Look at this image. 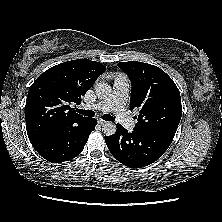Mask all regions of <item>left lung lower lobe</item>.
Instances as JSON below:
<instances>
[{
  "label": "left lung lower lobe",
  "mask_w": 222,
  "mask_h": 222,
  "mask_svg": "<svg viewBox=\"0 0 222 222\" xmlns=\"http://www.w3.org/2000/svg\"><path fill=\"white\" fill-rule=\"evenodd\" d=\"M116 133L106 136L111 154L123 165L141 168L155 162L168 149L174 133L160 130H136L129 133L117 124Z\"/></svg>",
  "instance_id": "0a47b994"
}]
</instances>
